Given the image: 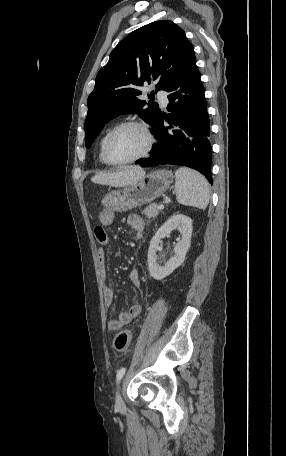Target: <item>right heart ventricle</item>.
<instances>
[{
  "label": "right heart ventricle",
  "mask_w": 286,
  "mask_h": 456,
  "mask_svg": "<svg viewBox=\"0 0 286 456\" xmlns=\"http://www.w3.org/2000/svg\"><path fill=\"white\" fill-rule=\"evenodd\" d=\"M117 126V124H111L103 133V135L101 136L100 138V141H99V151H98V157H99V160L102 164H105V165H108L106 163V161L104 160V157H103V147H104V143H105V140L107 138V136L109 135V133Z\"/></svg>",
  "instance_id": "e07e8e85"
}]
</instances>
